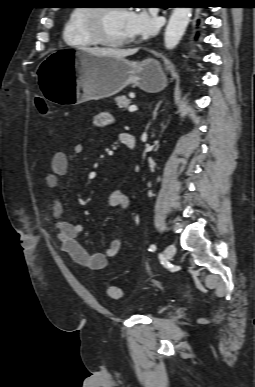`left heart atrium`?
Segmentation results:
<instances>
[{
	"label": "left heart atrium",
	"mask_w": 255,
	"mask_h": 387,
	"mask_svg": "<svg viewBox=\"0 0 255 387\" xmlns=\"http://www.w3.org/2000/svg\"><path fill=\"white\" fill-rule=\"evenodd\" d=\"M127 27L130 37H148L157 31L158 23L145 11H130L127 17Z\"/></svg>",
	"instance_id": "obj_1"
}]
</instances>
